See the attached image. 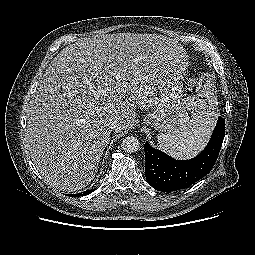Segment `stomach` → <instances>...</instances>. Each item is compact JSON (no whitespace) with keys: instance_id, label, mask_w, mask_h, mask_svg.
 <instances>
[{"instance_id":"0dacf381","label":"stomach","mask_w":255,"mask_h":255,"mask_svg":"<svg viewBox=\"0 0 255 255\" xmlns=\"http://www.w3.org/2000/svg\"><path fill=\"white\" fill-rule=\"evenodd\" d=\"M185 72L178 80L166 87L156 109L144 118V124L166 134H178L191 128L187 102L183 99Z\"/></svg>"}]
</instances>
